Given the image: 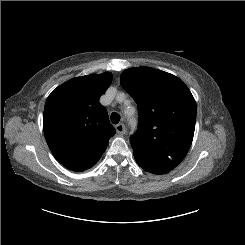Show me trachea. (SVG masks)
<instances>
[{
	"label": "trachea",
	"mask_w": 245,
	"mask_h": 245,
	"mask_svg": "<svg viewBox=\"0 0 245 245\" xmlns=\"http://www.w3.org/2000/svg\"><path fill=\"white\" fill-rule=\"evenodd\" d=\"M119 121H120V115L118 113H116V112H113L111 114V122L113 124H118Z\"/></svg>",
	"instance_id": "1"
}]
</instances>
